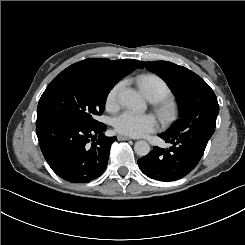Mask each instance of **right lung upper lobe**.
<instances>
[{"label": "right lung upper lobe", "instance_id": "obj_1", "mask_svg": "<svg viewBox=\"0 0 245 245\" xmlns=\"http://www.w3.org/2000/svg\"><path fill=\"white\" fill-rule=\"evenodd\" d=\"M143 67V64L137 60H109V59H85L77 62L69 68H79L89 72L107 75L110 78L119 81L124 76L137 68Z\"/></svg>", "mask_w": 245, "mask_h": 245}]
</instances>
